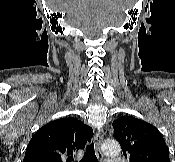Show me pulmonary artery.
<instances>
[{
    "instance_id": "obj_1",
    "label": "pulmonary artery",
    "mask_w": 175,
    "mask_h": 162,
    "mask_svg": "<svg viewBox=\"0 0 175 162\" xmlns=\"http://www.w3.org/2000/svg\"><path fill=\"white\" fill-rule=\"evenodd\" d=\"M107 162H124V160L121 158H113V159H108Z\"/></svg>"
}]
</instances>
